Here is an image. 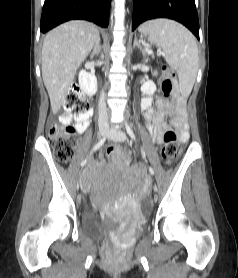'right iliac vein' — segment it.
Wrapping results in <instances>:
<instances>
[{
  "label": "right iliac vein",
  "mask_w": 238,
  "mask_h": 278,
  "mask_svg": "<svg viewBox=\"0 0 238 278\" xmlns=\"http://www.w3.org/2000/svg\"><path fill=\"white\" fill-rule=\"evenodd\" d=\"M108 134V127L106 125H102L99 127V136L104 138ZM80 186L79 181H76V192H79Z\"/></svg>",
  "instance_id": "1"
}]
</instances>
